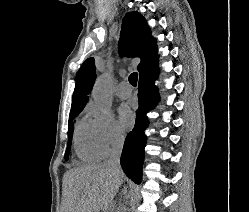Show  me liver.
Segmentation results:
<instances>
[{
  "label": "liver",
  "instance_id": "liver-1",
  "mask_svg": "<svg viewBox=\"0 0 249 212\" xmlns=\"http://www.w3.org/2000/svg\"><path fill=\"white\" fill-rule=\"evenodd\" d=\"M124 178L108 164L80 166L64 176L65 212H108Z\"/></svg>",
  "mask_w": 249,
  "mask_h": 212
}]
</instances>
